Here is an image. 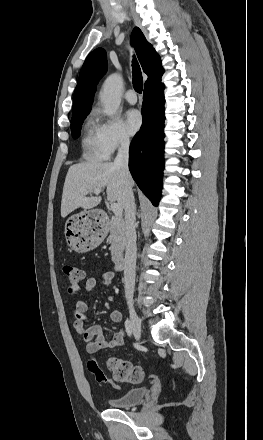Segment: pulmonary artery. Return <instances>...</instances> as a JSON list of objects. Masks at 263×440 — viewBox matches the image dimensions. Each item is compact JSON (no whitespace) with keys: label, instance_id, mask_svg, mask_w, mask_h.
Returning <instances> with one entry per match:
<instances>
[{"label":"pulmonary artery","instance_id":"1","mask_svg":"<svg viewBox=\"0 0 263 440\" xmlns=\"http://www.w3.org/2000/svg\"><path fill=\"white\" fill-rule=\"evenodd\" d=\"M125 99L130 104H135L137 102V95L133 90H128L125 93Z\"/></svg>","mask_w":263,"mask_h":440}]
</instances>
